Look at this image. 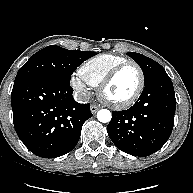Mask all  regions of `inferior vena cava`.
Listing matches in <instances>:
<instances>
[{
	"mask_svg": "<svg viewBox=\"0 0 193 193\" xmlns=\"http://www.w3.org/2000/svg\"><path fill=\"white\" fill-rule=\"evenodd\" d=\"M74 99L79 103H88L90 95L84 91H78L74 94Z\"/></svg>",
	"mask_w": 193,
	"mask_h": 193,
	"instance_id": "obj_1",
	"label": "inferior vena cava"
}]
</instances>
